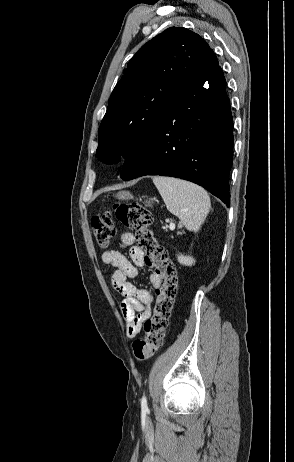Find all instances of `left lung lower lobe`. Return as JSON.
Wrapping results in <instances>:
<instances>
[{"label":"left lung lower lobe","instance_id":"1","mask_svg":"<svg viewBox=\"0 0 294 462\" xmlns=\"http://www.w3.org/2000/svg\"><path fill=\"white\" fill-rule=\"evenodd\" d=\"M233 162V120L219 66L177 96L151 134L126 159L121 178L145 175L182 178L228 207Z\"/></svg>","mask_w":294,"mask_h":462}]
</instances>
